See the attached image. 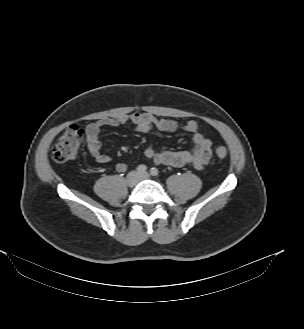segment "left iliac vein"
Returning a JSON list of instances; mask_svg holds the SVG:
<instances>
[{"label": "left iliac vein", "mask_w": 304, "mask_h": 329, "mask_svg": "<svg viewBox=\"0 0 304 329\" xmlns=\"http://www.w3.org/2000/svg\"><path fill=\"white\" fill-rule=\"evenodd\" d=\"M149 178V174L148 173H143L139 175V180H144V179H148Z\"/></svg>", "instance_id": "left-iliac-vein-1"}]
</instances>
